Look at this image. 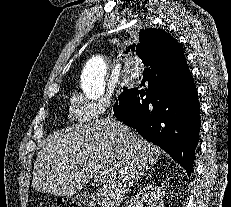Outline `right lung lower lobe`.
Segmentation results:
<instances>
[{"label":"right lung lower lobe","instance_id":"right-lung-lower-lobe-1","mask_svg":"<svg viewBox=\"0 0 231 207\" xmlns=\"http://www.w3.org/2000/svg\"><path fill=\"white\" fill-rule=\"evenodd\" d=\"M151 29L142 30L139 36L145 37ZM114 115L191 174L201 121L197 89L188 65L182 70L145 68L140 86L123 91Z\"/></svg>","mask_w":231,"mask_h":207}]
</instances>
